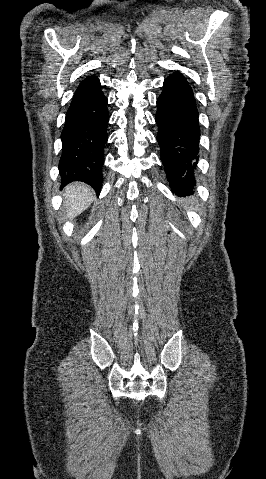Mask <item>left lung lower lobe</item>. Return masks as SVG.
<instances>
[{"mask_svg":"<svg viewBox=\"0 0 266 479\" xmlns=\"http://www.w3.org/2000/svg\"><path fill=\"white\" fill-rule=\"evenodd\" d=\"M156 123L161 160L172 191L179 196L192 194L199 160L198 111L191 87L178 72L164 80Z\"/></svg>","mask_w":266,"mask_h":479,"instance_id":"left-lung-lower-lobe-1","label":"left lung lower lobe"}]
</instances>
